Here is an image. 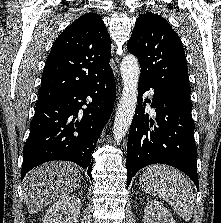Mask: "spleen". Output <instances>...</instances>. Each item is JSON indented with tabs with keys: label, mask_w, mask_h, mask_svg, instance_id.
I'll return each mask as SVG.
<instances>
[{
	"label": "spleen",
	"mask_w": 221,
	"mask_h": 223,
	"mask_svg": "<svg viewBox=\"0 0 221 223\" xmlns=\"http://www.w3.org/2000/svg\"><path fill=\"white\" fill-rule=\"evenodd\" d=\"M143 191L165 200L184 220L193 214V188L184 174L164 165H153L139 179Z\"/></svg>",
	"instance_id": "spleen-1"
}]
</instances>
